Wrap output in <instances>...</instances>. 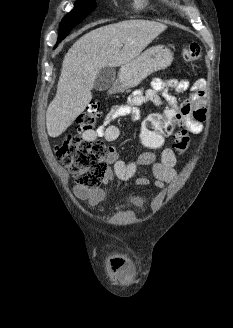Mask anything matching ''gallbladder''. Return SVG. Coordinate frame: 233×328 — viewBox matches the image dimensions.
Segmentation results:
<instances>
[{"instance_id": "bac80fb5", "label": "gallbladder", "mask_w": 233, "mask_h": 328, "mask_svg": "<svg viewBox=\"0 0 233 328\" xmlns=\"http://www.w3.org/2000/svg\"><path fill=\"white\" fill-rule=\"evenodd\" d=\"M116 72L112 67L102 68L94 82V89L97 91L107 90L114 82Z\"/></svg>"}]
</instances>
